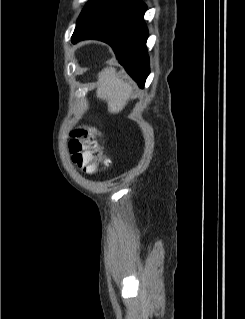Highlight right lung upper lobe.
<instances>
[{"label": "right lung upper lobe", "instance_id": "right-lung-upper-lobe-1", "mask_svg": "<svg viewBox=\"0 0 245 319\" xmlns=\"http://www.w3.org/2000/svg\"><path fill=\"white\" fill-rule=\"evenodd\" d=\"M130 1H131V0H130ZM83 20H84V16H83V15H80V17H79V19H78V23H77V26H76L75 31H81V30H83V29L88 28V27H83V26H82ZM75 31H74V32H75Z\"/></svg>", "mask_w": 245, "mask_h": 319}]
</instances>
